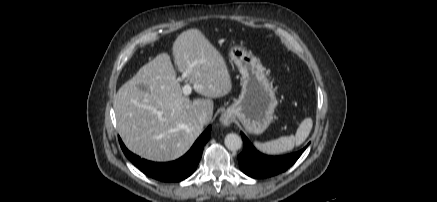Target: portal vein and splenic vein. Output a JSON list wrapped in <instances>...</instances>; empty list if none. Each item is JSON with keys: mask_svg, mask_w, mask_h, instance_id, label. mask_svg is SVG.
I'll use <instances>...</instances> for the list:
<instances>
[{"mask_svg": "<svg viewBox=\"0 0 437 202\" xmlns=\"http://www.w3.org/2000/svg\"><path fill=\"white\" fill-rule=\"evenodd\" d=\"M185 78H186V73H183L182 76L178 78V80H179L180 82H182V81L185 82V84H184L182 90H183V94H184L185 96H188V95L191 94L192 89L195 88L196 86H194V87L190 86V84H188V83L185 81Z\"/></svg>", "mask_w": 437, "mask_h": 202, "instance_id": "18ae733b", "label": "portal vein and splenic vein"}]
</instances>
